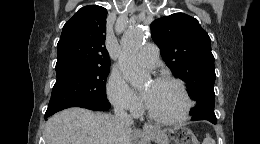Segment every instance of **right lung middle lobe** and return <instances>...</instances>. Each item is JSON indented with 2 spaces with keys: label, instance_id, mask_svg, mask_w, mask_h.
Masks as SVG:
<instances>
[{
  "label": "right lung middle lobe",
  "instance_id": "right-lung-middle-lobe-1",
  "mask_svg": "<svg viewBox=\"0 0 260 144\" xmlns=\"http://www.w3.org/2000/svg\"><path fill=\"white\" fill-rule=\"evenodd\" d=\"M109 72L110 67L98 66L56 68L57 80L46 113L108 102L105 87Z\"/></svg>",
  "mask_w": 260,
  "mask_h": 144
}]
</instances>
